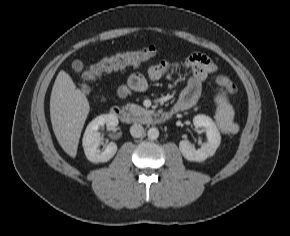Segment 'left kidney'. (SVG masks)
<instances>
[{
	"instance_id": "left-kidney-1",
	"label": "left kidney",
	"mask_w": 290,
	"mask_h": 236,
	"mask_svg": "<svg viewBox=\"0 0 290 236\" xmlns=\"http://www.w3.org/2000/svg\"><path fill=\"white\" fill-rule=\"evenodd\" d=\"M193 124L197 128H203L207 136V142L200 149L196 150L182 140L179 143V149L188 161L201 162L213 156L220 145L221 136L213 120L205 115H197L193 118Z\"/></svg>"
}]
</instances>
